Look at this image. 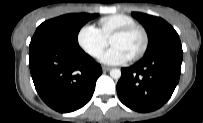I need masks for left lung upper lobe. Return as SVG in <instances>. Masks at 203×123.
<instances>
[{"label": "left lung upper lobe", "mask_w": 203, "mask_h": 123, "mask_svg": "<svg viewBox=\"0 0 203 123\" xmlns=\"http://www.w3.org/2000/svg\"><path fill=\"white\" fill-rule=\"evenodd\" d=\"M135 17L146 29L149 37V47L145 55L172 45H181L174 28L159 17L133 12Z\"/></svg>", "instance_id": "1"}]
</instances>
